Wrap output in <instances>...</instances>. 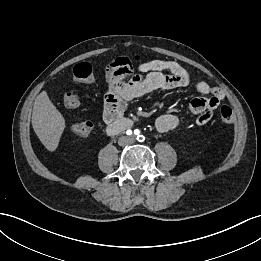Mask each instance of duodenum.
<instances>
[{"instance_id": "1", "label": "duodenum", "mask_w": 261, "mask_h": 261, "mask_svg": "<svg viewBox=\"0 0 261 261\" xmlns=\"http://www.w3.org/2000/svg\"><path fill=\"white\" fill-rule=\"evenodd\" d=\"M132 126V122L128 119H120L113 123L108 124L107 132L109 134H117L120 133Z\"/></svg>"}]
</instances>
